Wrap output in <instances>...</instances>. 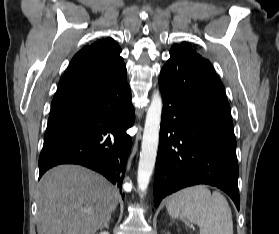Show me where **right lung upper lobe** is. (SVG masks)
I'll return each instance as SVG.
<instances>
[{"label":"right lung upper lobe","instance_id":"right-lung-upper-lobe-1","mask_svg":"<svg viewBox=\"0 0 279 234\" xmlns=\"http://www.w3.org/2000/svg\"><path fill=\"white\" fill-rule=\"evenodd\" d=\"M120 53L121 48L110 37L82 48L60 79L53 99L100 85L126 70Z\"/></svg>","mask_w":279,"mask_h":234}]
</instances>
